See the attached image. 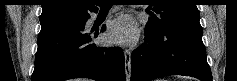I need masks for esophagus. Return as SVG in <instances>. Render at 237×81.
<instances>
[{
    "label": "esophagus",
    "mask_w": 237,
    "mask_h": 81,
    "mask_svg": "<svg viewBox=\"0 0 237 81\" xmlns=\"http://www.w3.org/2000/svg\"><path fill=\"white\" fill-rule=\"evenodd\" d=\"M124 58H125V71H126V79L127 81L130 80V71H131V65H130V61H131V51L129 49H125L124 50Z\"/></svg>",
    "instance_id": "34e87169"
}]
</instances>
